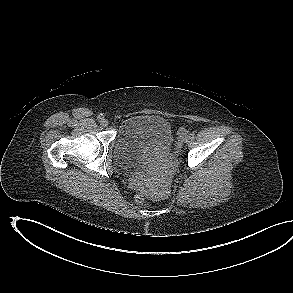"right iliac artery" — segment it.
Returning a JSON list of instances; mask_svg holds the SVG:
<instances>
[{"instance_id": "obj_1", "label": "right iliac artery", "mask_w": 293, "mask_h": 293, "mask_svg": "<svg viewBox=\"0 0 293 293\" xmlns=\"http://www.w3.org/2000/svg\"><path fill=\"white\" fill-rule=\"evenodd\" d=\"M98 121L101 122V120L103 119V115L100 114L98 117H97Z\"/></svg>"}]
</instances>
